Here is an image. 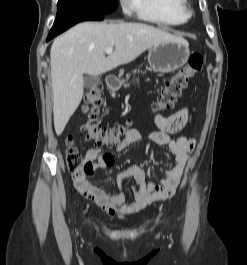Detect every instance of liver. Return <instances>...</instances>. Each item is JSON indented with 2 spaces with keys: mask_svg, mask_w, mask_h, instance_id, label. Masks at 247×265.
I'll use <instances>...</instances> for the list:
<instances>
[{
  "mask_svg": "<svg viewBox=\"0 0 247 265\" xmlns=\"http://www.w3.org/2000/svg\"><path fill=\"white\" fill-rule=\"evenodd\" d=\"M183 40L143 23H80L57 37L50 50L53 116L61 135L83 97L84 74L98 76L127 64L161 42ZM107 47H114L105 56Z\"/></svg>",
  "mask_w": 247,
  "mask_h": 265,
  "instance_id": "1",
  "label": "liver"
}]
</instances>
